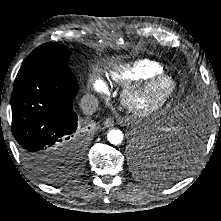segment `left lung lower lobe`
<instances>
[{
    "label": "left lung lower lobe",
    "mask_w": 221,
    "mask_h": 221,
    "mask_svg": "<svg viewBox=\"0 0 221 221\" xmlns=\"http://www.w3.org/2000/svg\"><path fill=\"white\" fill-rule=\"evenodd\" d=\"M187 130L182 137L171 143H163L159 133L133 139L131 152L135 158L152 167L141 174L145 181L157 186L169 185L181 179L192 168L199 153L194 142L203 133L204 123L187 124ZM162 151L168 156L165 162L158 160Z\"/></svg>",
    "instance_id": "left-lung-lower-lobe-1"
}]
</instances>
